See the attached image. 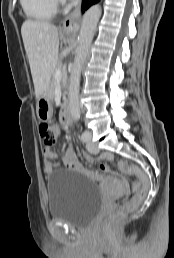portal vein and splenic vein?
I'll return each instance as SVG.
<instances>
[{
	"label": "portal vein and splenic vein",
	"mask_w": 174,
	"mask_h": 258,
	"mask_svg": "<svg viewBox=\"0 0 174 258\" xmlns=\"http://www.w3.org/2000/svg\"><path fill=\"white\" fill-rule=\"evenodd\" d=\"M62 76V71L60 69L56 70L55 77L60 78Z\"/></svg>",
	"instance_id": "18ae733b"
}]
</instances>
